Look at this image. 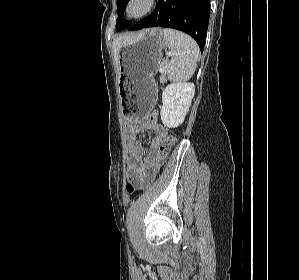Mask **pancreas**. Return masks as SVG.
I'll return each instance as SVG.
<instances>
[{"instance_id": "obj_1", "label": "pancreas", "mask_w": 299, "mask_h": 280, "mask_svg": "<svg viewBox=\"0 0 299 280\" xmlns=\"http://www.w3.org/2000/svg\"><path fill=\"white\" fill-rule=\"evenodd\" d=\"M164 75H165V73H163V75L160 77V81H161V82H164V81H165Z\"/></svg>"}]
</instances>
